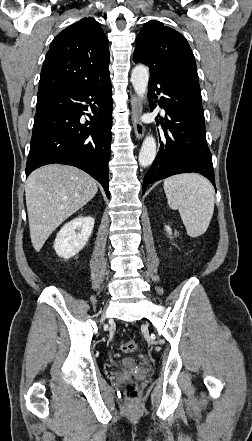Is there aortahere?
Masks as SVG:
<instances>
[{"instance_id": "aorta-1", "label": "aorta", "mask_w": 252, "mask_h": 441, "mask_svg": "<svg viewBox=\"0 0 252 441\" xmlns=\"http://www.w3.org/2000/svg\"><path fill=\"white\" fill-rule=\"evenodd\" d=\"M149 81V71L144 65H137L131 75L133 88L141 99H145ZM156 141L152 135L147 136L139 152V164L142 167H148L156 157Z\"/></svg>"}]
</instances>
